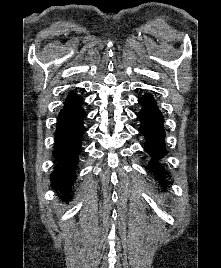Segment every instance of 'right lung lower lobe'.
<instances>
[{"label": "right lung lower lobe", "mask_w": 221, "mask_h": 268, "mask_svg": "<svg viewBox=\"0 0 221 268\" xmlns=\"http://www.w3.org/2000/svg\"><path fill=\"white\" fill-rule=\"evenodd\" d=\"M82 102L80 96L66 99L56 124L53 150L56 167L51 174V186L64 193L67 201L71 199V185L76 178L77 159L82 151V138L86 131V113L81 106Z\"/></svg>", "instance_id": "obj_1"}]
</instances>
